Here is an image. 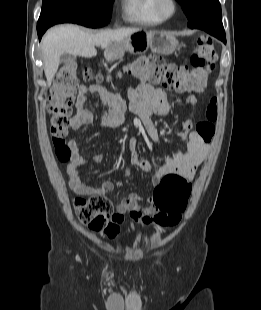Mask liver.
Listing matches in <instances>:
<instances>
[{
  "label": "liver",
  "mask_w": 261,
  "mask_h": 310,
  "mask_svg": "<svg viewBox=\"0 0 261 310\" xmlns=\"http://www.w3.org/2000/svg\"><path fill=\"white\" fill-rule=\"evenodd\" d=\"M137 31L138 28H123L93 34L76 25L51 28L42 40L44 73L48 86L51 85L63 54L91 58L97 55L95 46L106 50L111 43L120 42Z\"/></svg>",
  "instance_id": "liver-1"
}]
</instances>
